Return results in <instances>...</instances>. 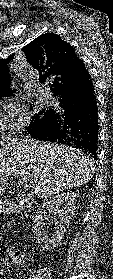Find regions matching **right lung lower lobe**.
Wrapping results in <instances>:
<instances>
[{
	"mask_svg": "<svg viewBox=\"0 0 113 279\" xmlns=\"http://www.w3.org/2000/svg\"><path fill=\"white\" fill-rule=\"evenodd\" d=\"M59 112L46 123L27 130L32 137L80 148L97 159L98 107L91 76L78 90L60 99Z\"/></svg>",
	"mask_w": 113,
	"mask_h": 279,
	"instance_id": "1",
	"label": "right lung lower lobe"
}]
</instances>
